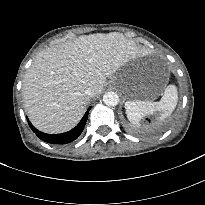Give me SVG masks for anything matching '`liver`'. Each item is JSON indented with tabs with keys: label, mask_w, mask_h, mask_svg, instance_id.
Masks as SVG:
<instances>
[{
	"label": "liver",
	"mask_w": 205,
	"mask_h": 205,
	"mask_svg": "<svg viewBox=\"0 0 205 205\" xmlns=\"http://www.w3.org/2000/svg\"><path fill=\"white\" fill-rule=\"evenodd\" d=\"M142 52L133 40L112 32L80 36L48 47L34 58L22 85L27 115L47 133H63L82 118L91 87L97 97L111 76Z\"/></svg>",
	"instance_id": "6515ba94"
}]
</instances>
